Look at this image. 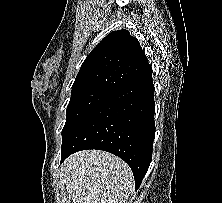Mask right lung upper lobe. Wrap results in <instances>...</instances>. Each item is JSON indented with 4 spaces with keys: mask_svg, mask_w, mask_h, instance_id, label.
<instances>
[{
    "mask_svg": "<svg viewBox=\"0 0 222 203\" xmlns=\"http://www.w3.org/2000/svg\"><path fill=\"white\" fill-rule=\"evenodd\" d=\"M149 66L136 38L124 29L113 31L86 57L72 91L98 88L114 92Z\"/></svg>",
    "mask_w": 222,
    "mask_h": 203,
    "instance_id": "right-lung-upper-lobe-1",
    "label": "right lung upper lobe"
}]
</instances>
